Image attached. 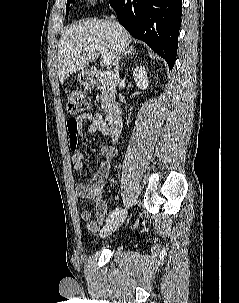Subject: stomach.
I'll use <instances>...</instances> for the list:
<instances>
[{
    "instance_id": "stomach-1",
    "label": "stomach",
    "mask_w": 239,
    "mask_h": 303,
    "mask_svg": "<svg viewBox=\"0 0 239 303\" xmlns=\"http://www.w3.org/2000/svg\"><path fill=\"white\" fill-rule=\"evenodd\" d=\"M78 80L84 86H89L93 83V80L89 74V71H86V70H82L78 74Z\"/></svg>"
}]
</instances>
